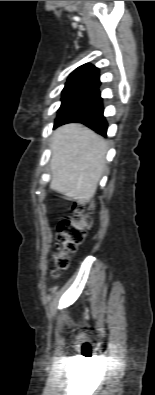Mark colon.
<instances>
[{
    "label": "colon",
    "mask_w": 155,
    "mask_h": 395,
    "mask_svg": "<svg viewBox=\"0 0 155 395\" xmlns=\"http://www.w3.org/2000/svg\"><path fill=\"white\" fill-rule=\"evenodd\" d=\"M74 208L76 211L75 217L61 221L58 226L57 248L53 253L55 266L52 271L53 278H58L60 272L69 267L70 254L75 252L77 247L83 243L91 226L88 210L92 208V205L85 207L81 204H75Z\"/></svg>",
    "instance_id": "1"
}]
</instances>
